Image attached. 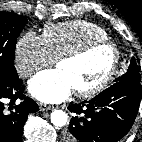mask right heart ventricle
I'll use <instances>...</instances> for the list:
<instances>
[{
	"mask_svg": "<svg viewBox=\"0 0 142 142\" xmlns=\"http://www.w3.org/2000/svg\"><path fill=\"white\" fill-rule=\"evenodd\" d=\"M42 38L53 59L94 40H107L106 31L99 25L73 20L49 23L43 29Z\"/></svg>",
	"mask_w": 142,
	"mask_h": 142,
	"instance_id": "obj_1",
	"label": "right heart ventricle"
}]
</instances>
